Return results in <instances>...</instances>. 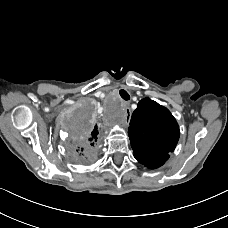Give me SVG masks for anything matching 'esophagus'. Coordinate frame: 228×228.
Listing matches in <instances>:
<instances>
[{"label":"esophagus","instance_id":"obj_1","mask_svg":"<svg viewBox=\"0 0 228 228\" xmlns=\"http://www.w3.org/2000/svg\"><path fill=\"white\" fill-rule=\"evenodd\" d=\"M124 108H125V110H126V111H129V112H130V110H129V107H128L127 103H125V104H124Z\"/></svg>","mask_w":228,"mask_h":228}]
</instances>
